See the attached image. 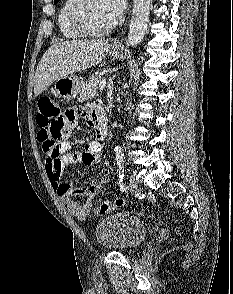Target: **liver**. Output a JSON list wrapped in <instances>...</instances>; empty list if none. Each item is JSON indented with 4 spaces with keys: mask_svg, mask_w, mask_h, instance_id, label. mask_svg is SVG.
<instances>
[{
    "mask_svg": "<svg viewBox=\"0 0 233 294\" xmlns=\"http://www.w3.org/2000/svg\"><path fill=\"white\" fill-rule=\"evenodd\" d=\"M109 49L108 41L102 40H72L52 45L37 66L34 94L40 95L59 78L97 65Z\"/></svg>",
    "mask_w": 233,
    "mask_h": 294,
    "instance_id": "liver-1",
    "label": "liver"
}]
</instances>
